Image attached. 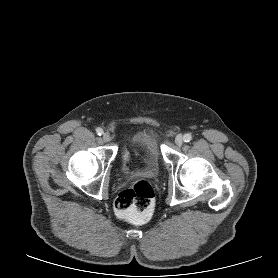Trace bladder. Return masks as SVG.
Returning a JSON list of instances; mask_svg holds the SVG:
<instances>
[{"instance_id": "31cf9c89", "label": "bladder", "mask_w": 278, "mask_h": 278, "mask_svg": "<svg viewBox=\"0 0 278 278\" xmlns=\"http://www.w3.org/2000/svg\"><path fill=\"white\" fill-rule=\"evenodd\" d=\"M132 148L144 155L146 160L144 171L156 174L159 170V148L156 137L150 132H140L133 137Z\"/></svg>"}]
</instances>
